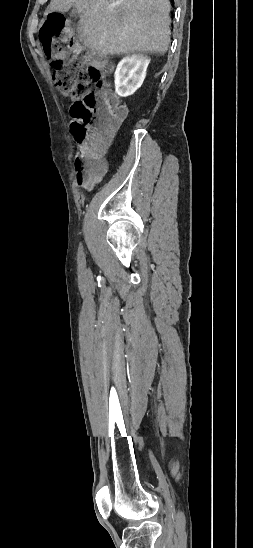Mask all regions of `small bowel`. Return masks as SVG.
Instances as JSON below:
<instances>
[{"mask_svg":"<svg viewBox=\"0 0 253 548\" xmlns=\"http://www.w3.org/2000/svg\"><path fill=\"white\" fill-rule=\"evenodd\" d=\"M89 183H90V181H89V182H83V183H81V184H82V185H88Z\"/></svg>","mask_w":253,"mask_h":548,"instance_id":"1","label":"small bowel"}]
</instances>
